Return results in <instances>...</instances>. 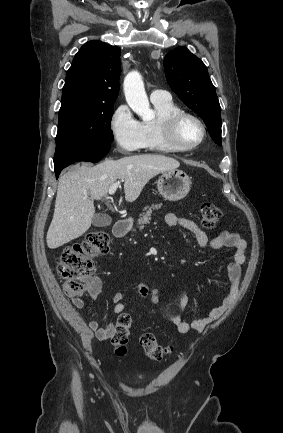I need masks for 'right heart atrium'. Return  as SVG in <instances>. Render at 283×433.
Segmentation results:
<instances>
[{"label": "right heart atrium", "instance_id": "1", "mask_svg": "<svg viewBox=\"0 0 283 433\" xmlns=\"http://www.w3.org/2000/svg\"><path fill=\"white\" fill-rule=\"evenodd\" d=\"M109 131L116 151L120 155H129L147 145V138L131 109L126 104L116 105L109 117Z\"/></svg>", "mask_w": 283, "mask_h": 433}]
</instances>
